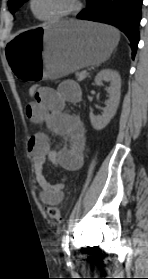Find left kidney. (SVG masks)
<instances>
[{
  "label": "left kidney",
  "mask_w": 148,
  "mask_h": 279,
  "mask_svg": "<svg viewBox=\"0 0 148 279\" xmlns=\"http://www.w3.org/2000/svg\"><path fill=\"white\" fill-rule=\"evenodd\" d=\"M103 81L110 82V86L107 88L109 99L105 103L106 106L102 115H95L90 112V121L95 130H102L110 122L117 111L121 95V77L117 71L112 69L100 71L95 77V83L101 86Z\"/></svg>",
  "instance_id": "5707ae66"
}]
</instances>
